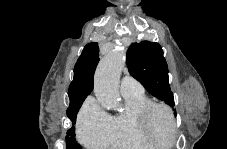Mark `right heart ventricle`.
<instances>
[{"instance_id":"obj_1","label":"right heart ventricle","mask_w":227,"mask_h":149,"mask_svg":"<svg viewBox=\"0 0 227 149\" xmlns=\"http://www.w3.org/2000/svg\"><path fill=\"white\" fill-rule=\"evenodd\" d=\"M124 109L110 117L108 145L117 149H152L141 135L137 124L138 111L151 100L144 91L123 94Z\"/></svg>"}]
</instances>
